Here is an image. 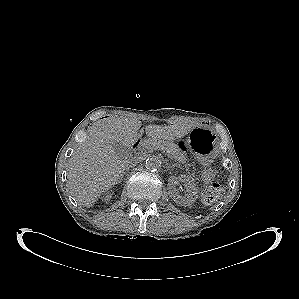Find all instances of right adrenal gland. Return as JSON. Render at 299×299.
Segmentation results:
<instances>
[{"label": "right adrenal gland", "mask_w": 299, "mask_h": 299, "mask_svg": "<svg viewBox=\"0 0 299 299\" xmlns=\"http://www.w3.org/2000/svg\"><path fill=\"white\" fill-rule=\"evenodd\" d=\"M127 169H128V168H127ZM125 174H126L125 172L122 173L120 180H122V178H123V176H124ZM120 180H119V181H120Z\"/></svg>", "instance_id": "obj_1"}]
</instances>
